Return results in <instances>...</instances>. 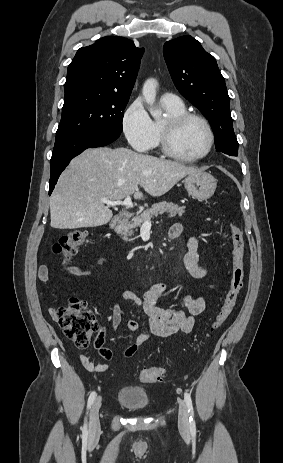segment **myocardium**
Returning <instances> with one entry per match:
<instances>
[{
  "instance_id": "obj_1",
  "label": "myocardium",
  "mask_w": 283,
  "mask_h": 463,
  "mask_svg": "<svg viewBox=\"0 0 283 463\" xmlns=\"http://www.w3.org/2000/svg\"><path fill=\"white\" fill-rule=\"evenodd\" d=\"M199 120L206 128L207 133H208V145L206 150L194 157H187L184 155H181L174 147V137L180 127L186 123L189 120ZM215 143V135L213 128L209 122V120L204 117L203 115L195 112H187L185 111L184 113L178 114V115H173V116H168L165 120L162 121L161 124V134H160V144L162 151L164 154H166L168 157L184 162V163H195L200 160H203L206 158L212 151Z\"/></svg>"
}]
</instances>
